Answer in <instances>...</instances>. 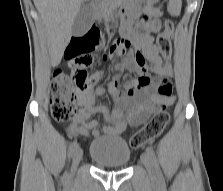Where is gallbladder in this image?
<instances>
[{
    "label": "gallbladder",
    "instance_id": "gallbladder-1",
    "mask_svg": "<svg viewBox=\"0 0 223 191\" xmlns=\"http://www.w3.org/2000/svg\"><path fill=\"white\" fill-rule=\"evenodd\" d=\"M93 23L92 9L88 5H82L72 25V35L82 36Z\"/></svg>",
    "mask_w": 223,
    "mask_h": 191
}]
</instances>
